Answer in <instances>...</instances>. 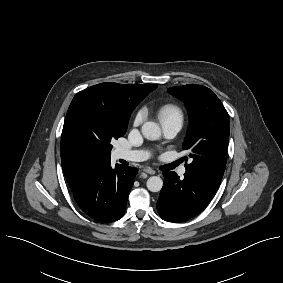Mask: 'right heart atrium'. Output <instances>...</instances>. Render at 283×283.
<instances>
[{"mask_svg": "<svg viewBox=\"0 0 283 283\" xmlns=\"http://www.w3.org/2000/svg\"><path fill=\"white\" fill-rule=\"evenodd\" d=\"M144 117H145V113H144V110L143 109H140L134 116V119H133V125L136 127V126H139L143 120H144Z\"/></svg>", "mask_w": 283, "mask_h": 283, "instance_id": "1", "label": "right heart atrium"}]
</instances>
